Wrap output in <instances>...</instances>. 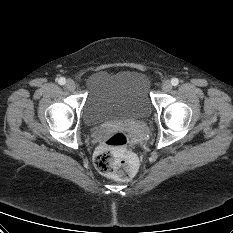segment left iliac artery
Returning a JSON list of instances; mask_svg holds the SVG:
<instances>
[{
	"instance_id": "obj_1",
	"label": "left iliac artery",
	"mask_w": 233,
	"mask_h": 233,
	"mask_svg": "<svg viewBox=\"0 0 233 233\" xmlns=\"http://www.w3.org/2000/svg\"><path fill=\"white\" fill-rule=\"evenodd\" d=\"M171 84H172L173 86H177V85L179 84V80H178L177 78H173V79L171 80Z\"/></svg>"
}]
</instances>
